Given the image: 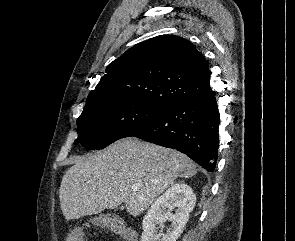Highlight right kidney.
Masks as SVG:
<instances>
[{
	"mask_svg": "<svg viewBox=\"0 0 295 241\" xmlns=\"http://www.w3.org/2000/svg\"><path fill=\"white\" fill-rule=\"evenodd\" d=\"M196 195L185 183L172 185L162 196L151 205L145 215L142 227L141 241H176L188 221L189 213L193 210ZM175 214L172 213L175 209ZM170 221L171 225L166 234L157 233L156 225Z\"/></svg>",
	"mask_w": 295,
	"mask_h": 241,
	"instance_id": "1",
	"label": "right kidney"
}]
</instances>
